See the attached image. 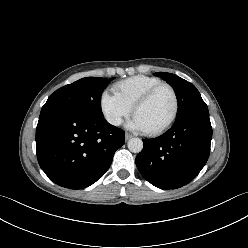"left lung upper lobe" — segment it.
Returning <instances> with one entry per match:
<instances>
[{
  "label": "left lung upper lobe",
  "instance_id": "left-lung-upper-lobe-1",
  "mask_svg": "<svg viewBox=\"0 0 248 248\" xmlns=\"http://www.w3.org/2000/svg\"><path fill=\"white\" fill-rule=\"evenodd\" d=\"M155 75L166 80L177 94L179 107L176 121L187 117L195 111L207 108L199 91L190 82L171 73L157 72Z\"/></svg>",
  "mask_w": 248,
  "mask_h": 248
}]
</instances>
